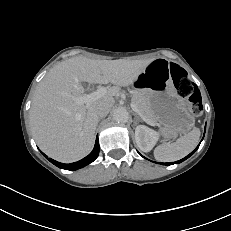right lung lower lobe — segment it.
Masks as SVG:
<instances>
[{
    "label": "right lung lower lobe",
    "instance_id": "1",
    "mask_svg": "<svg viewBox=\"0 0 231 231\" xmlns=\"http://www.w3.org/2000/svg\"><path fill=\"white\" fill-rule=\"evenodd\" d=\"M99 142H98V137L96 138V142H95V146L94 149L92 150V152L86 156L85 158L81 159L80 161L71 163V164H64V163H60L57 162L51 158H49V161L51 163H53L54 165L58 166L59 168L62 169H66V170H77L80 169L88 164H90L91 162H93L99 154ZM41 152V151H40ZM46 158H48L43 152H41Z\"/></svg>",
    "mask_w": 231,
    "mask_h": 231
}]
</instances>
